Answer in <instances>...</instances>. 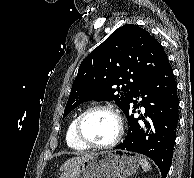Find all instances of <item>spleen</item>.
<instances>
[{"mask_svg": "<svg viewBox=\"0 0 194 178\" xmlns=\"http://www.w3.org/2000/svg\"><path fill=\"white\" fill-rule=\"evenodd\" d=\"M139 163H140L143 171L146 172V171H150L151 170V165L149 164V162L145 158L140 159Z\"/></svg>", "mask_w": 194, "mask_h": 178, "instance_id": "1", "label": "spleen"}]
</instances>
